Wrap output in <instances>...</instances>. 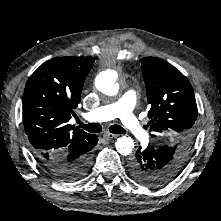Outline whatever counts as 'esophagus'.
Here are the masks:
<instances>
[{
  "label": "esophagus",
  "instance_id": "esophagus-1",
  "mask_svg": "<svg viewBox=\"0 0 221 221\" xmlns=\"http://www.w3.org/2000/svg\"><path fill=\"white\" fill-rule=\"evenodd\" d=\"M103 137H105L106 139H114V138H117L118 135L112 134V133H105V134L103 135Z\"/></svg>",
  "mask_w": 221,
  "mask_h": 221
}]
</instances>
